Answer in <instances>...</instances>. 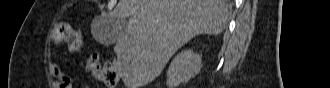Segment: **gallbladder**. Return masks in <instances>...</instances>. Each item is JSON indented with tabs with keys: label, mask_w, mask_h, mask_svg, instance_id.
Returning <instances> with one entry per match:
<instances>
[{
	"label": "gallbladder",
	"mask_w": 330,
	"mask_h": 88,
	"mask_svg": "<svg viewBox=\"0 0 330 88\" xmlns=\"http://www.w3.org/2000/svg\"><path fill=\"white\" fill-rule=\"evenodd\" d=\"M124 27H126L125 23H124ZM113 28H114V25H113ZM111 44H113V43H111Z\"/></svg>",
	"instance_id": "1"
}]
</instances>
